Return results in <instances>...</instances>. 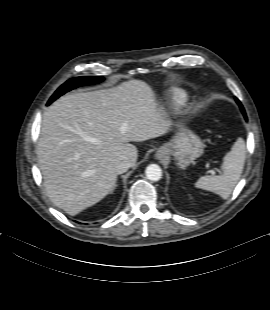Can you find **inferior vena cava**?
<instances>
[{
    "mask_svg": "<svg viewBox=\"0 0 270 310\" xmlns=\"http://www.w3.org/2000/svg\"><path fill=\"white\" fill-rule=\"evenodd\" d=\"M132 166L128 157L120 156L118 160L115 162L114 170L117 174H122L126 172Z\"/></svg>",
    "mask_w": 270,
    "mask_h": 310,
    "instance_id": "1",
    "label": "inferior vena cava"
}]
</instances>
